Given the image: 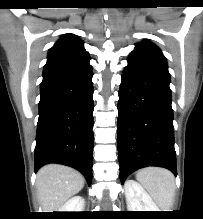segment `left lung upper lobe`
<instances>
[{
  "mask_svg": "<svg viewBox=\"0 0 203 219\" xmlns=\"http://www.w3.org/2000/svg\"><path fill=\"white\" fill-rule=\"evenodd\" d=\"M135 46L130 57L152 61L167 67L166 58L154 44L145 41L137 43Z\"/></svg>",
  "mask_w": 203,
  "mask_h": 219,
  "instance_id": "left-lung-upper-lobe-1",
  "label": "left lung upper lobe"
}]
</instances>
